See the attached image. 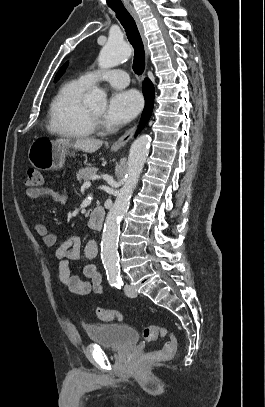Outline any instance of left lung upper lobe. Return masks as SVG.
Wrapping results in <instances>:
<instances>
[{"mask_svg": "<svg viewBox=\"0 0 265 407\" xmlns=\"http://www.w3.org/2000/svg\"><path fill=\"white\" fill-rule=\"evenodd\" d=\"M66 66H67V63L64 64V65L60 68V70L58 71V73H57V75H56L55 80H57V79L63 74L64 69L66 68Z\"/></svg>", "mask_w": 265, "mask_h": 407, "instance_id": "1", "label": "left lung upper lobe"}]
</instances>
